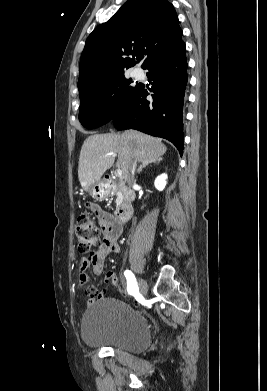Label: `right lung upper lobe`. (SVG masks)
<instances>
[{"label": "right lung upper lobe", "mask_w": 267, "mask_h": 391, "mask_svg": "<svg viewBox=\"0 0 267 391\" xmlns=\"http://www.w3.org/2000/svg\"><path fill=\"white\" fill-rule=\"evenodd\" d=\"M182 43V30L171 3L128 0L87 38L80 59L79 93L105 77L124 72L142 59L144 69Z\"/></svg>", "instance_id": "1"}]
</instances>
